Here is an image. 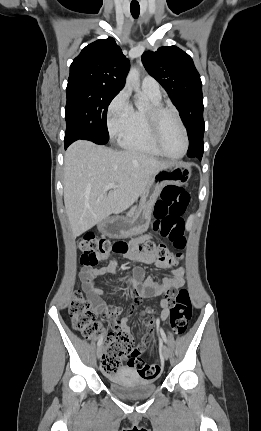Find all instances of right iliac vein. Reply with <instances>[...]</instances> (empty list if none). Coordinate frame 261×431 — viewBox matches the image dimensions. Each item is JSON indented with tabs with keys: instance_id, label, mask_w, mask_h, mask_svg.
<instances>
[{
	"instance_id": "obj_1",
	"label": "right iliac vein",
	"mask_w": 261,
	"mask_h": 431,
	"mask_svg": "<svg viewBox=\"0 0 261 431\" xmlns=\"http://www.w3.org/2000/svg\"><path fill=\"white\" fill-rule=\"evenodd\" d=\"M102 354V346H99L97 349V357L99 358Z\"/></svg>"
}]
</instances>
